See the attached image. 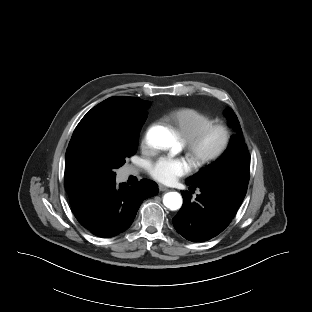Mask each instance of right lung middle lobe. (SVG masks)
<instances>
[{"label":"right lung middle lobe","instance_id":"1","mask_svg":"<svg viewBox=\"0 0 312 312\" xmlns=\"http://www.w3.org/2000/svg\"><path fill=\"white\" fill-rule=\"evenodd\" d=\"M147 112L133 118L96 114L77 125L65 155V178L81 186L103 187L115 169L134 155Z\"/></svg>","mask_w":312,"mask_h":312}]
</instances>
